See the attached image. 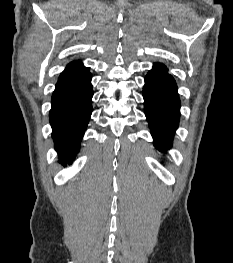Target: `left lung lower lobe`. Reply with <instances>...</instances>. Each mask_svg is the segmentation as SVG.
Listing matches in <instances>:
<instances>
[{
  "label": "left lung lower lobe",
  "mask_w": 233,
  "mask_h": 263,
  "mask_svg": "<svg viewBox=\"0 0 233 263\" xmlns=\"http://www.w3.org/2000/svg\"><path fill=\"white\" fill-rule=\"evenodd\" d=\"M144 110L154 146L165 152L172 146L179 125L180 99L177 85L165 65L155 63L145 77Z\"/></svg>",
  "instance_id": "obj_1"
}]
</instances>
